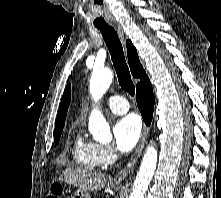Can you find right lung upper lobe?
Returning <instances> with one entry per match:
<instances>
[{
    "instance_id": "right-lung-upper-lobe-1",
    "label": "right lung upper lobe",
    "mask_w": 221,
    "mask_h": 198,
    "mask_svg": "<svg viewBox=\"0 0 221 198\" xmlns=\"http://www.w3.org/2000/svg\"><path fill=\"white\" fill-rule=\"evenodd\" d=\"M126 46H127L128 63L130 66L131 73L133 77L140 78V82L137 84L138 86L143 81L147 80L148 76L146 75V72L144 71L140 63L137 51L130 40H127ZM70 100H71L70 84H68L67 88L64 90L61 104L59 106L58 116L55 125V132L63 130Z\"/></svg>"
}]
</instances>
